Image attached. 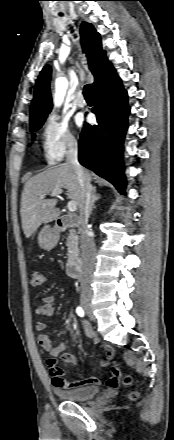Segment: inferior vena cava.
<instances>
[{
    "mask_svg": "<svg viewBox=\"0 0 174 440\" xmlns=\"http://www.w3.org/2000/svg\"><path fill=\"white\" fill-rule=\"evenodd\" d=\"M66 162L74 167L82 190V203L80 206V243L83 260V271L81 276V295H91V278L95 265V244L90 236V229L87 227L88 218L91 214V202L93 188L90 178L78 161V144L72 140L68 143Z\"/></svg>",
    "mask_w": 174,
    "mask_h": 440,
    "instance_id": "1",
    "label": "inferior vena cava"
}]
</instances>
